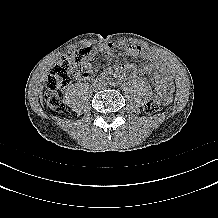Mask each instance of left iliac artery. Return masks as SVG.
Returning <instances> with one entry per match:
<instances>
[{"mask_svg": "<svg viewBox=\"0 0 218 218\" xmlns=\"http://www.w3.org/2000/svg\"><path fill=\"white\" fill-rule=\"evenodd\" d=\"M109 84H110V85H114V82L109 81Z\"/></svg>", "mask_w": 218, "mask_h": 218, "instance_id": "obj_1", "label": "left iliac artery"}]
</instances>
